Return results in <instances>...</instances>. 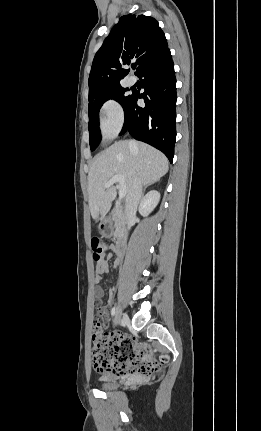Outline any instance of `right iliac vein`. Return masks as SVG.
I'll return each mask as SVG.
<instances>
[{"label":"right iliac vein","instance_id":"63e3f726","mask_svg":"<svg viewBox=\"0 0 261 431\" xmlns=\"http://www.w3.org/2000/svg\"><path fill=\"white\" fill-rule=\"evenodd\" d=\"M122 318L126 319V315L122 312V309L118 307L116 311L115 320H114L115 325H118L121 322Z\"/></svg>","mask_w":261,"mask_h":431}]
</instances>
